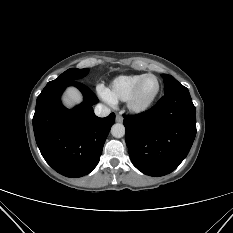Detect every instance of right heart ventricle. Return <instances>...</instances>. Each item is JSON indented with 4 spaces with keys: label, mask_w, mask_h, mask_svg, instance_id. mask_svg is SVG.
I'll return each mask as SVG.
<instances>
[{
    "label": "right heart ventricle",
    "mask_w": 233,
    "mask_h": 233,
    "mask_svg": "<svg viewBox=\"0 0 233 233\" xmlns=\"http://www.w3.org/2000/svg\"><path fill=\"white\" fill-rule=\"evenodd\" d=\"M145 74L120 75L110 84L108 92L113 101H126L135 84Z\"/></svg>",
    "instance_id": "1"
}]
</instances>
